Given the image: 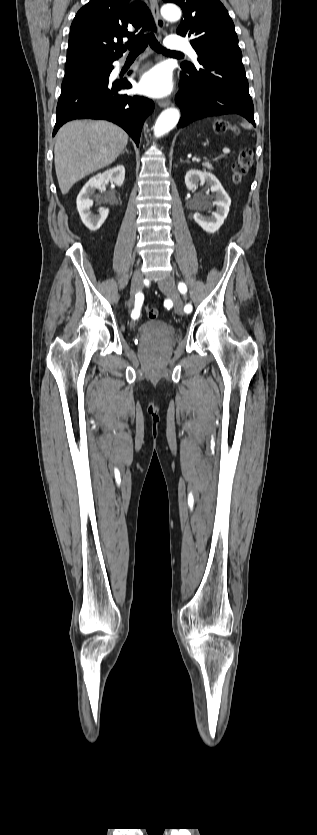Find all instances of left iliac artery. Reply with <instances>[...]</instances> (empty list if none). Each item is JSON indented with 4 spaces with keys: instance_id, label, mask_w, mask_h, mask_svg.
Wrapping results in <instances>:
<instances>
[{
    "instance_id": "1",
    "label": "left iliac artery",
    "mask_w": 317,
    "mask_h": 835,
    "mask_svg": "<svg viewBox=\"0 0 317 835\" xmlns=\"http://www.w3.org/2000/svg\"><path fill=\"white\" fill-rule=\"evenodd\" d=\"M178 290H179L182 294H185V293L187 292V286H186V284H185V283H183V282H179V284H178ZM184 311H185V312H187V313L191 312V311H192V305H191V304H189V303H188V304H186V306L184 307Z\"/></svg>"
}]
</instances>
